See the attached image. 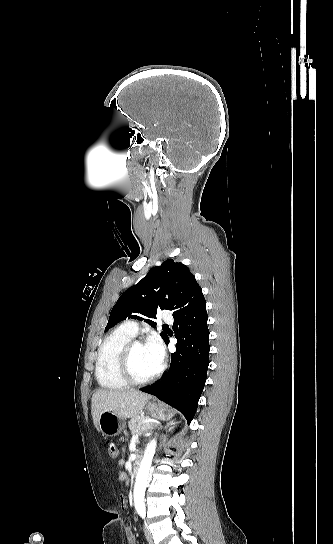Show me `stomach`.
<instances>
[{"mask_svg":"<svg viewBox=\"0 0 333 544\" xmlns=\"http://www.w3.org/2000/svg\"><path fill=\"white\" fill-rule=\"evenodd\" d=\"M147 410L153 417L169 419L172 413L163 405L151 403L147 405ZM124 428L123 418L111 411H103L98 421V429L104 436L113 437Z\"/></svg>","mask_w":333,"mask_h":544,"instance_id":"0dacf381","label":"stomach"}]
</instances>
